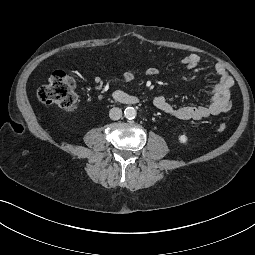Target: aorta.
<instances>
[{"instance_id":"1","label":"aorta","mask_w":255,"mask_h":255,"mask_svg":"<svg viewBox=\"0 0 255 255\" xmlns=\"http://www.w3.org/2000/svg\"><path fill=\"white\" fill-rule=\"evenodd\" d=\"M124 115L129 120L134 119L137 115L136 109L134 107H127L124 110Z\"/></svg>"}]
</instances>
